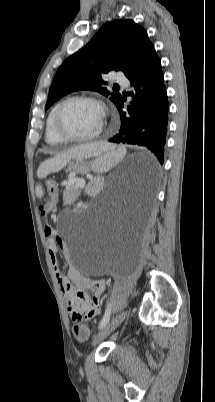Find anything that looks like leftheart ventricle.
Segmentation results:
<instances>
[{
    "instance_id": "obj_1",
    "label": "left heart ventricle",
    "mask_w": 215,
    "mask_h": 402,
    "mask_svg": "<svg viewBox=\"0 0 215 402\" xmlns=\"http://www.w3.org/2000/svg\"><path fill=\"white\" fill-rule=\"evenodd\" d=\"M60 122L66 132L84 136L92 134L100 128L103 123V114L94 103L74 101L63 108Z\"/></svg>"
}]
</instances>
